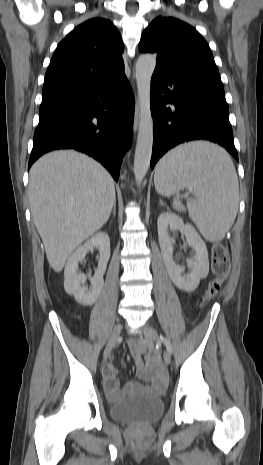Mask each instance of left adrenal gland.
I'll return each instance as SVG.
<instances>
[{"mask_svg": "<svg viewBox=\"0 0 263 465\" xmlns=\"http://www.w3.org/2000/svg\"><path fill=\"white\" fill-rule=\"evenodd\" d=\"M160 205H161V206H164V205H165V204L163 203L162 200H160Z\"/></svg>", "mask_w": 263, "mask_h": 465, "instance_id": "a2214340", "label": "left adrenal gland"}]
</instances>
